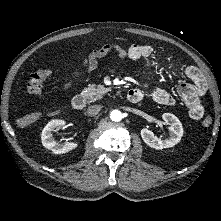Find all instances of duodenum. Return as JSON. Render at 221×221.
Masks as SVG:
<instances>
[{
	"instance_id": "410a0bca",
	"label": "duodenum",
	"mask_w": 221,
	"mask_h": 221,
	"mask_svg": "<svg viewBox=\"0 0 221 221\" xmlns=\"http://www.w3.org/2000/svg\"><path fill=\"white\" fill-rule=\"evenodd\" d=\"M127 100L131 103H137L140 101V96L136 91L130 90L127 93ZM71 103L75 110L80 111L86 106V99L82 95H76L72 98Z\"/></svg>"
}]
</instances>
